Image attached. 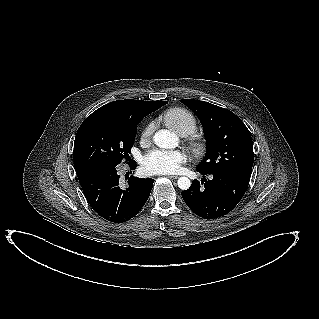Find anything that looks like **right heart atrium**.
<instances>
[{"label": "right heart atrium", "instance_id": "1", "mask_svg": "<svg viewBox=\"0 0 319 319\" xmlns=\"http://www.w3.org/2000/svg\"><path fill=\"white\" fill-rule=\"evenodd\" d=\"M152 131H153V124L148 123L141 132V135H140L141 141L142 142L147 141L150 138Z\"/></svg>", "mask_w": 319, "mask_h": 319}]
</instances>
